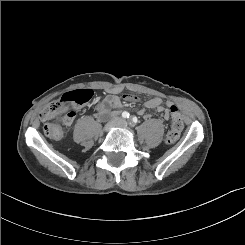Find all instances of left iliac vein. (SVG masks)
Returning <instances> with one entry per match:
<instances>
[{
  "instance_id": "4c4485c4",
  "label": "left iliac vein",
  "mask_w": 245,
  "mask_h": 245,
  "mask_svg": "<svg viewBox=\"0 0 245 245\" xmlns=\"http://www.w3.org/2000/svg\"><path fill=\"white\" fill-rule=\"evenodd\" d=\"M120 125L123 126V127H126V126H127V122H126V121H122V122L120 123Z\"/></svg>"
}]
</instances>
